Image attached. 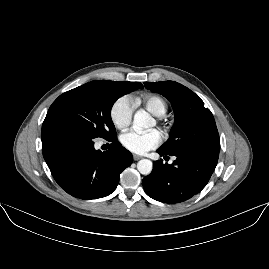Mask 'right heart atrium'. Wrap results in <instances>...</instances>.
<instances>
[{
	"label": "right heart atrium",
	"mask_w": 269,
	"mask_h": 269,
	"mask_svg": "<svg viewBox=\"0 0 269 269\" xmlns=\"http://www.w3.org/2000/svg\"><path fill=\"white\" fill-rule=\"evenodd\" d=\"M134 105V100L129 95H123L113 102L109 117L115 128L123 130L129 126L134 114Z\"/></svg>",
	"instance_id": "right-heart-atrium-1"
}]
</instances>
